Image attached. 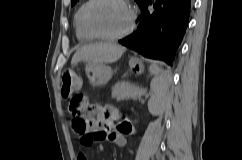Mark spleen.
<instances>
[{
	"label": "spleen",
	"instance_id": "3e777b00",
	"mask_svg": "<svg viewBox=\"0 0 242 160\" xmlns=\"http://www.w3.org/2000/svg\"><path fill=\"white\" fill-rule=\"evenodd\" d=\"M149 71L154 75V79L151 82L152 90L156 95L162 94L170 80L169 71L162 70L156 64H151Z\"/></svg>",
	"mask_w": 242,
	"mask_h": 160
}]
</instances>
